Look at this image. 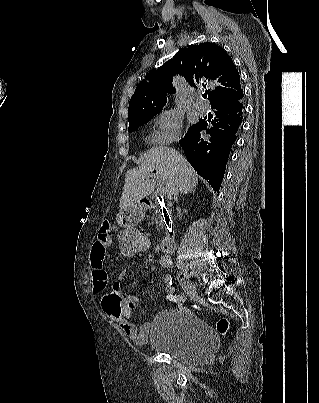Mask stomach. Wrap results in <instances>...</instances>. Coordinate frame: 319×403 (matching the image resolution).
<instances>
[{
	"label": "stomach",
	"mask_w": 319,
	"mask_h": 403,
	"mask_svg": "<svg viewBox=\"0 0 319 403\" xmlns=\"http://www.w3.org/2000/svg\"><path fill=\"white\" fill-rule=\"evenodd\" d=\"M113 216L119 228H126L127 226L141 224L143 213L140 208L132 206L125 210H115Z\"/></svg>",
	"instance_id": "0dacf381"
}]
</instances>
